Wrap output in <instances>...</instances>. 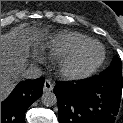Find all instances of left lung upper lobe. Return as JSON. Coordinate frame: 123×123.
Instances as JSON below:
<instances>
[{
  "instance_id": "left-lung-upper-lobe-1",
  "label": "left lung upper lobe",
  "mask_w": 123,
  "mask_h": 123,
  "mask_svg": "<svg viewBox=\"0 0 123 123\" xmlns=\"http://www.w3.org/2000/svg\"><path fill=\"white\" fill-rule=\"evenodd\" d=\"M121 67H122L121 60L116 56L112 60L111 65L106 70L101 72L100 75L105 78L123 81Z\"/></svg>"
}]
</instances>
